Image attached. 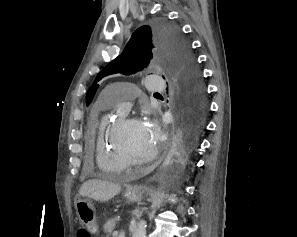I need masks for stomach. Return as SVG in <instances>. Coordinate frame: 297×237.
<instances>
[{"mask_svg":"<svg viewBox=\"0 0 297 237\" xmlns=\"http://www.w3.org/2000/svg\"><path fill=\"white\" fill-rule=\"evenodd\" d=\"M145 190L141 187H128L124 196L129 202H141L144 198ZM79 222L89 233L95 234L98 231L96 223V212L89 199H79L75 204Z\"/></svg>","mask_w":297,"mask_h":237,"instance_id":"obj_1","label":"stomach"}]
</instances>
